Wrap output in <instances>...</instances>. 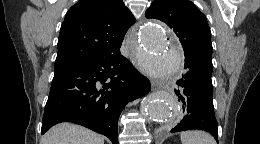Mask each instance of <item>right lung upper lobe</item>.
<instances>
[{"label":"right lung upper lobe","instance_id":"obj_1","mask_svg":"<svg viewBox=\"0 0 260 144\" xmlns=\"http://www.w3.org/2000/svg\"><path fill=\"white\" fill-rule=\"evenodd\" d=\"M136 19L122 0H80L60 29L55 70L120 51Z\"/></svg>","mask_w":260,"mask_h":144}]
</instances>
